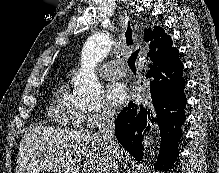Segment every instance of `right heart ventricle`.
I'll use <instances>...</instances> for the list:
<instances>
[{"label": "right heart ventricle", "mask_w": 219, "mask_h": 173, "mask_svg": "<svg viewBox=\"0 0 219 173\" xmlns=\"http://www.w3.org/2000/svg\"><path fill=\"white\" fill-rule=\"evenodd\" d=\"M83 114L84 112L72 102L68 86H59L49 106L50 121L62 128H82L85 126Z\"/></svg>", "instance_id": "obj_1"}]
</instances>
